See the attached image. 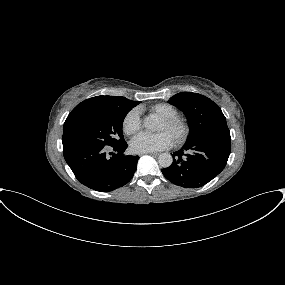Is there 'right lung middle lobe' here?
I'll use <instances>...</instances> for the list:
<instances>
[{
  "instance_id": "1",
  "label": "right lung middle lobe",
  "mask_w": 285,
  "mask_h": 285,
  "mask_svg": "<svg viewBox=\"0 0 285 285\" xmlns=\"http://www.w3.org/2000/svg\"><path fill=\"white\" fill-rule=\"evenodd\" d=\"M131 109H106L83 116L64 131L63 146L85 144L113 147L124 143L123 120Z\"/></svg>"
}]
</instances>
